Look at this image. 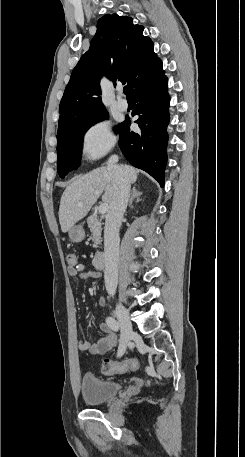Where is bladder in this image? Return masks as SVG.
<instances>
[{
    "instance_id": "bladder-1",
    "label": "bladder",
    "mask_w": 245,
    "mask_h": 457,
    "mask_svg": "<svg viewBox=\"0 0 245 457\" xmlns=\"http://www.w3.org/2000/svg\"><path fill=\"white\" fill-rule=\"evenodd\" d=\"M80 388L86 405H99L106 403L110 396L117 395L120 390L119 383L99 380L93 374L83 375Z\"/></svg>"
}]
</instances>
